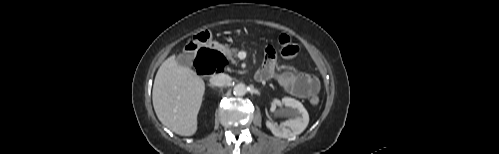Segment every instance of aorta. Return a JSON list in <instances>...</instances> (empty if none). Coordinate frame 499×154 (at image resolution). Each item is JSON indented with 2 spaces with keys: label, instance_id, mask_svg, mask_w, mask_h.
<instances>
[{
  "label": "aorta",
  "instance_id": "aorta-1",
  "mask_svg": "<svg viewBox=\"0 0 499 154\" xmlns=\"http://www.w3.org/2000/svg\"><path fill=\"white\" fill-rule=\"evenodd\" d=\"M246 92H247V89H246L245 84H243V83H239V84L235 85L233 88V93L236 96H243L246 94Z\"/></svg>",
  "mask_w": 499,
  "mask_h": 154
}]
</instances>
